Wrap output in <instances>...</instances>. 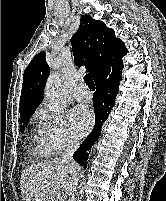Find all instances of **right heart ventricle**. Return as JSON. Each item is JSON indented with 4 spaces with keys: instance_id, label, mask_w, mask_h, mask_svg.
I'll list each match as a JSON object with an SVG mask.
<instances>
[{
    "instance_id": "e07e8e85",
    "label": "right heart ventricle",
    "mask_w": 166,
    "mask_h": 201,
    "mask_svg": "<svg viewBox=\"0 0 166 201\" xmlns=\"http://www.w3.org/2000/svg\"><path fill=\"white\" fill-rule=\"evenodd\" d=\"M35 142H36L35 152L39 154L41 157H49L54 154L49 148V146L46 144V142L44 141V138L41 132V127H38L36 131Z\"/></svg>"
}]
</instances>
